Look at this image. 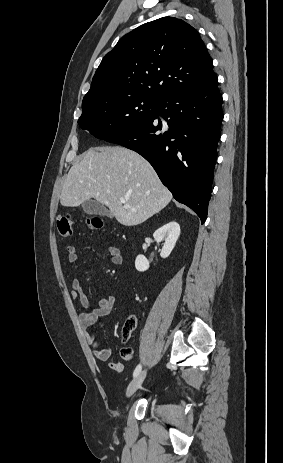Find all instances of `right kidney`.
Listing matches in <instances>:
<instances>
[{
    "label": "right kidney",
    "instance_id": "1",
    "mask_svg": "<svg viewBox=\"0 0 283 463\" xmlns=\"http://www.w3.org/2000/svg\"><path fill=\"white\" fill-rule=\"evenodd\" d=\"M180 235V225L175 222H169L156 230L153 237L156 241L165 240L162 251L160 253L161 258H167L175 247V244ZM135 268L144 272L149 268V261L144 255H138L135 260Z\"/></svg>",
    "mask_w": 283,
    "mask_h": 463
}]
</instances>
